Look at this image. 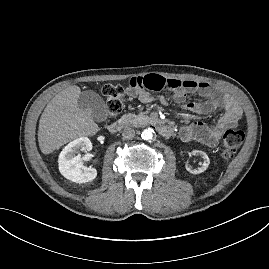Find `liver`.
Here are the masks:
<instances>
[{"label": "liver", "mask_w": 269, "mask_h": 269, "mask_svg": "<svg viewBox=\"0 0 269 269\" xmlns=\"http://www.w3.org/2000/svg\"><path fill=\"white\" fill-rule=\"evenodd\" d=\"M80 94V87L71 85L47 104L38 129V143L43 154H50L71 140L95 135L100 130L90 113L79 108Z\"/></svg>", "instance_id": "1"}]
</instances>
